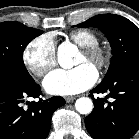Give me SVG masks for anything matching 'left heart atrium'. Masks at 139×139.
I'll use <instances>...</instances> for the list:
<instances>
[{
    "mask_svg": "<svg viewBox=\"0 0 139 139\" xmlns=\"http://www.w3.org/2000/svg\"><path fill=\"white\" fill-rule=\"evenodd\" d=\"M98 73L89 63L73 69H56L50 72L43 81L45 90L53 95H73L83 92L97 81Z\"/></svg>",
    "mask_w": 139,
    "mask_h": 139,
    "instance_id": "39dd6f15",
    "label": "left heart atrium"
}]
</instances>
